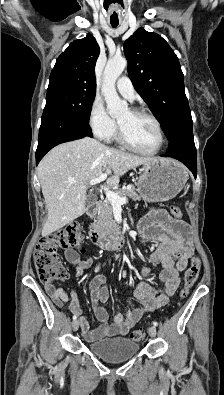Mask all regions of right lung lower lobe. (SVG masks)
<instances>
[{
  "instance_id": "98d812e1",
  "label": "right lung lower lobe",
  "mask_w": 224,
  "mask_h": 395,
  "mask_svg": "<svg viewBox=\"0 0 224 395\" xmlns=\"http://www.w3.org/2000/svg\"><path fill=\"white\" fill-rule=\"evenodd\" d=\"M87 136L92 137L89 124L58 111L44 109L39 129L36 164L54 146Z\"/></svg>"
}]
</instances>
